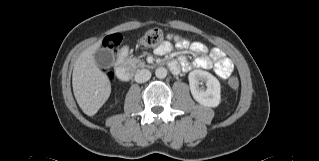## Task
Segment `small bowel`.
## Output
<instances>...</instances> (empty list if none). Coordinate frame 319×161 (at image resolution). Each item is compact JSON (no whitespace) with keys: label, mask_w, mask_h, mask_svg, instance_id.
<instances>
[{"label":"small bowel","mask_w":319,"mask_h":161,"mask_svg":"<svg viewBox=\"0 0 319 161\" xmlns=\"http://www.w3.org/2000/svg\"><path fill=\"white\" fill-rule=\"evenodd\" d=\"M176 43L179 48H189L194 54H206L208 56H199L193 61H189L186 57L180 59L178 64V70L181 68L184 71H188L192 68L211 69L215 71L216 75L221 79H227L234 72L233 62L226 57L224 52L219 48H213L210 51L208 47L201 42L190 43L186 38L175 37ZM171 50V44L169 41L162 42L155 50L158 55H166ZM174 71V72H177Z\"/></svg>","instance_id":"obj_1"}]
</instances>
